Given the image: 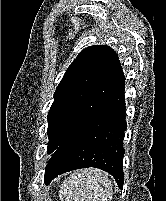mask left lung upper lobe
Returning a JSON list of instances; mask_svg holds the SVG:
<instances>
[{
	"mask_svg": "<svg viewBox=\"0 0 166 201\" xmlns=\"http://www.w3.org/2000/svg\"><path fill=\"white\" fill-rule=\"evenodd\" d=\"M125 80L118 55L109 46L83 49L66 70L48 113V154L83 124Z\"/></svg>",
	"mask_w": 166,
	"mask_h": 201,
	"instance_id": "1",
	"label": "left lung upper lobe"
}]
</instances>
